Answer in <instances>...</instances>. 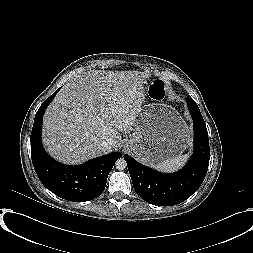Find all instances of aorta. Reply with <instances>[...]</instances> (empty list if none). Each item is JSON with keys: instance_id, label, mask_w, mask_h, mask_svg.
<instances>
[{"instance_id": "obj_1", "label": "aorta", "mask_w": 253, "mask_h": 253, "mask_svg": "<svg viewBox=\"0 0 253 253\" xmlns=\"http://www.w3.org/2000/svg\"><path fill=\"white\" fill-rule=\"evenodd\" d=\"M115 166L118 170H124L127 167V162L124 158H120L116 161Z\"/></svg>"}]
</instances>
